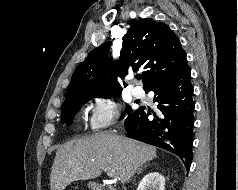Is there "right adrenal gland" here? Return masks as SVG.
Returning a JSON list of instances; mask_svg holds the SVG:
<instances>
[{
  "mask_svg": "<svg viewBox=\"0 0 238 190\" xmlns=\"http://www.w3.org/2000/svg\"><path fill=\"white\" fill-rule=\"evenodd\" d=\"M147 167H148V165L141 166V167L138 169L137 174H140V173L143 171V169H145V168H147Z\"/></svg>",
  "mask_w": 238,
  "mask_h": 190,
  "instance_id": "1",
  "label": "right adrenal gland"
}]
</instances>
